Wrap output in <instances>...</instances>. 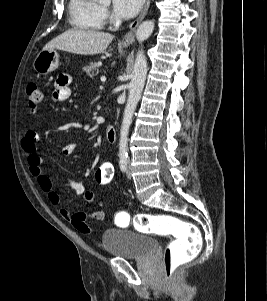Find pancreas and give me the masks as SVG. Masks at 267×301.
Masks as SVG:
<instances>
[{"instance_id": "pancreas-1", "label": "pancreas", "mask_w": 267, "mask_h": 301, "mask_svg": "<svg viewBox=\"0 0 267 301\" xmlns=\"http://www.w3.org/2000/svg\"><path fill=\"white\" fill-rule=\"evenodd\" d=\"M101 65V62H91L88 66L84 67V71L88 76L93 78L99 72Z\"/></svg>"}]
</instances>
